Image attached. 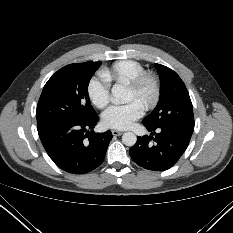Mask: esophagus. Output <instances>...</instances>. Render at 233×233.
<instances>
[{
    "label": "esophagus",
    "mask_w": 233,
    "mask_h": 233,
    "mask_svg": "<svg viewBox=\"0 0 233 233\" xmlns=\"http://www.w3.org/2000/svg\"><path fill=\"white\" fill-rule=\"evenodd\" d=\"M112 134H113L114 136H120V135L123 134V132H122V131H119V130H112Z\"/></svg>",
    "instance_id": "obj_1"
}]
</instances>
